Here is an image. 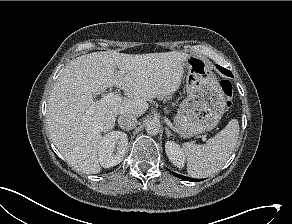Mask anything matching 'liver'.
<instances>
[{"instance_id": "6515ba94", "label": "liver", "mask_w": 292, "mask_h": 224, "mask_svg": "<svg viewBox=\"0 0 292 224\" xmlns=\"http://www.w3.org/2000/svg\"><path fill=\"white\" fill-rule=\"evenodd\" d=\"M186 56L179 51L141 55L101 51L68 64L51 90L47 107L51 139L67 162L85 174L99 173L101 133L113 129L117 115L141 116L149 108L147 101L174 93ZM112 86L128 97L115 105L93 99L92 94Z\"/></svg>"}]
</instances>
